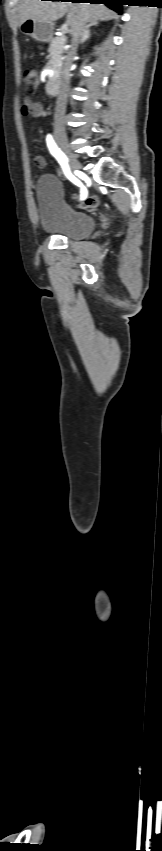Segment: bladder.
Returning a JSON list of instances; mask_svg holds the SVG:
<instances>
[{
	"instance_id": "obj_1",
	"label": "bladder",
	"mask_w": 162,
	"mask_h": 851,
	"mask_svg": "<svg viewBox=\"0 0 162 851\" xmlns=\"http://www.w3.org/2000/svg\"><path fill=\"white\" fill-rule=\"evenodd\" d=\"M35 194L44 232L71 240L85 239L93 232L94 218L75 209L64 198L62 184L56 176H41L36 183Z\"/></svg>"
}]
</instances>
